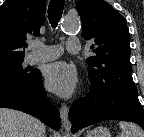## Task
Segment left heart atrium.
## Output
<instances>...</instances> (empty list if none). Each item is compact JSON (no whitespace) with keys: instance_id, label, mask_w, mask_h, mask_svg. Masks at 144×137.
<instances>
[{"instance_id":"39dd6f15","label":"left heart atrium","mask_w":144,"mask_h":137,"mask_svg":"<svg viewBox=\"0 0 144 137\" xmlns=\"http://www.w3.org/2000/svg\"><path fill=\"white\" fill-rule=\"evenodd\" d=\"M45 81L51 92L64 98L70 97L77 86L76 68L66 62L53 63L46 69Z\"/></svg>"}]
</instances>
